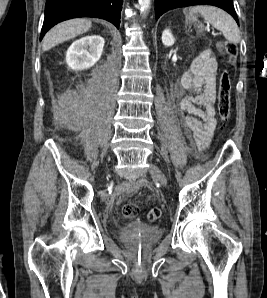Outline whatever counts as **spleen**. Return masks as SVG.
<instances>
[{
	"instance_id": "spleen-1",
	"label": "spleen",
	"mask_w": 267,
	"mask_h": 298,
	"mask_svg": "<svg viewBox=\"0 0 267 298\" xmlns=\"http://www.w3.org/2000/svg\"><path fill=\"white\" fill-rule=\"evenodd\" d=\"M191 13H200L206 22L214 28L220 30L223 36L230 43L240 42V31L234 19L222 9L214 6L198 5L189 8ZM200 31H203V25H200Z\"/></svg>"
}]
</instances>
